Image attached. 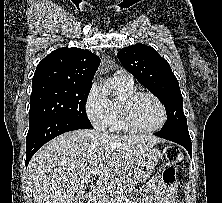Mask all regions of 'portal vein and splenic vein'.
Returning <instances> with one entry per match:
<instances>
[{"label":"portal vein and splenic vein","instance_id":"18ae733b","mask_svg":"<svg viewBox=\"0 0 222 203\" xmlns=\"http://www.w3.org/2000/svg\"><path fill=\"white\" fill-rule=\"evenodd\" d=\"M99 172V168H96L95 170L92 171V173L95 175ZM100 185H102V182H98Z\"/></svg>","mask_w":222,"mask_h":203}]
</instances>
